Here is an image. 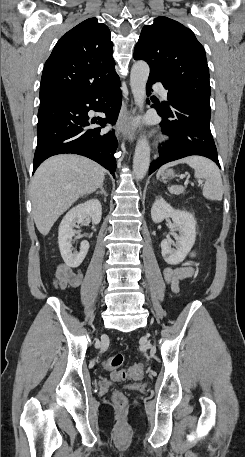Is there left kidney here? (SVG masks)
<instances>
[{
    "instance_id": "5707ae66",
    "label": "left kidney",
    "mask_w": 245,
    "mask_h": 457,
    "mask_svg": "<svg viewBox=\"0 0 245 457\" xmlns=\"http://www.w3.org/2000/svg\"><path fill=\"white\" fill-rule=\"evenodd\" d=\"M172 218L174 231H179L178 235H173L176 243L169 239H164L161 243L162 257L168 265H179L183 263L185 257L190 253L196 241V220L187 210H177L168 204L162 196H156L151 208V218L154 222H162L164 218ZM176 247V249H172Z\"/></svg>"
}]
</instances>
